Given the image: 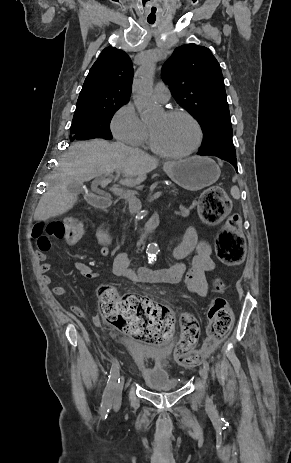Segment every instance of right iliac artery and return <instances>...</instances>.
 <instances>
[{"mask_svg":"<svg viewBox=\"0 0 291 463\" xmlns=\"http://www.w3.org/2000/svg\"><path fill=\"white\" fill-rule=\"evenodd\" d=\"M107 385L105 388V392L103 395V400L101 404V415L102 417H107V413L111 409L112 402H113V393L114 388L117 383H119V364L118 362H114L112 364L109 376H108Z\"/></svg>","mask_w":291,"mask_h":463,"instance_id":"1","label":"right iliac artery"}]
</instances>
